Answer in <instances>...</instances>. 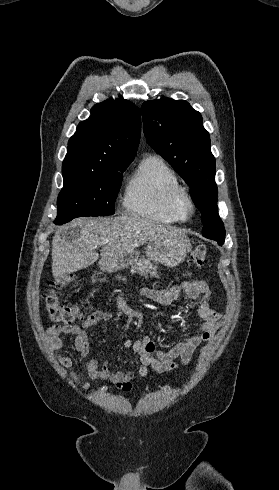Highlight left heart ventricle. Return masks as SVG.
<instances>
[{
  "mask_svg": "<svg viewBox=\"0 0 279 490\" xmlns=\"http://www.w3.org/2000/svg\"><path fill=\"white\" fill-rule=\"evenodd\" d=\"M183 211L186 212L187 211V204L186 203H183Z\"/></svg>",
  "mask_w": 279,
  "mask_h": 490,
  "instance_id": "left-heart-ventricle-1",
  "label": "left heart ventricle"
}]
</instances>
